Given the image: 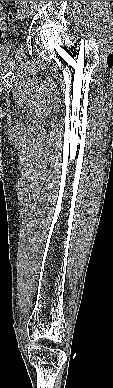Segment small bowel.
<instances>
[{
  "mask_svg": "<svg viewBox=\"0 0 113 388\" xmlns=\"http://www.w3.org/2000/svg\"><path fill=\"white\" fill-rule=\"evenodd\" d=\"M3 17V11H2V8H1V5H0V20L2 19Z\"/></svg>",
  "mask_w": 113,
  "mask_h": 388,
  "instance_id": "small-bowel-1",
  "label": "small bowel"
}]
</instances>
